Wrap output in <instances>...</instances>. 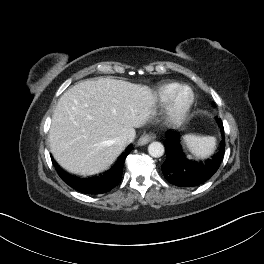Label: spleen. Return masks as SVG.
<instances>
[{
  "label": "spleen",
  "mask_w": 264,
  "mask_h": 264,
  "mask_svg": "<svg viewBox=\"0 0 264 264\" xmlns=\"http://www.w3.org/2000/svg\"><path fill=\"white\" fill-rule=\"evenodd\" d=\"M183 141L188 150L196 158H206L210 156L216 147V138L213 136H197L187 134L183 136Z\"/></svg>",
  "instance_id": "spleen-1"
}]
</instances>
